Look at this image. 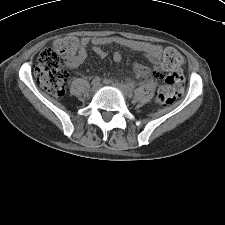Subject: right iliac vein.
Wrapping results in <instances>:
<instances>
[{
  "label": "right iliac vein",
  "mask_w": 225,
  "mask_h": 225,
  "mask_svg": "<svg viewBox=\"0 0 225 225\" xmlns=\"http://www.w3.org/2000/svg\"><path fill=\"white\" fill-rule=\"evenodd\" d=\"M100 88V83L98 84H92V87H91V92H96L98 89Z\"/></svg>",
  "instance_id": "63e3f726"
}]
</instances>
